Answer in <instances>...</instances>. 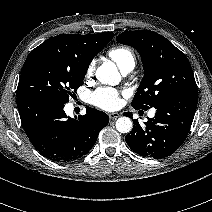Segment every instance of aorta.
Returning <instances> with one entry per match:
<instances>
[{
	"label": "aorta",
	"instance_id": "1",
	"mask_svg": "<svg viewBox=\"0 0 212 212\" xmlns=\"http://www.w3.org/2000/svg\"><path fill=\"white\" fill-rule=\"evenodd\" d=\"M96 78L103 84L119 82L120 75L112 63H105L96 70ZM132 121L129 117H120L116 121V129L120 133H129L132 130Z\"/></svg>",
	"mask_w": 212,
	"mask_h": 212
}]
</instances>
